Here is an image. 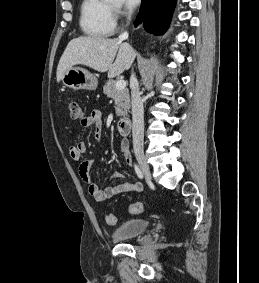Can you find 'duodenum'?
<instances>
[{"instance_id": "1", "label": "duodenum", "mask_w": 259, "mask_h": 283, "mask_svg": "<svg viewBox=\"0 0 259 283\" xmlns=\"http://www.w3.org/2000/svg\"><path fill=\"white\" fill-rule=\"evenodd\" d=\"M131 120L128 117H124L118 121L117 129L120 135H127L130 131Z\"/></svg>"}]
</instances>
